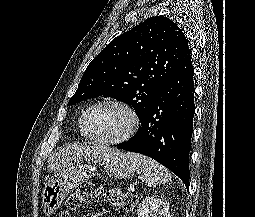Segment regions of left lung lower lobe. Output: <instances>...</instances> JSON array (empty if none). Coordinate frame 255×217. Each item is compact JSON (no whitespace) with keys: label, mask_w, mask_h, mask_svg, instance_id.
<instances>
[{"label":"left lung lower lobe","mask_w":255,"mask_h":217,"mask_svg":"<svg viewBox=\"0 0 255 217\" xmlns=\"http://www.w3.org/2000/svg\"><path fill=\"white\" fill-rule=\"evenodd\" d=\"M194 68L189 54L158 89L137 133L117 148L149 156L189 187Z\"/></svg>","instance_id":"0a47b994"}]
</instances>
